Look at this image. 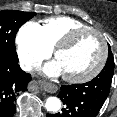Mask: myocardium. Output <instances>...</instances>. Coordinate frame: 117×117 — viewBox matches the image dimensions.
<instances>
[{"instance_id":"f54148a6","label":"myocardium","mask_w":117,"mask_h":117,"mask_svg":"<svg viewBox=\"0 0 117 117\" xmlns=\"http://www.w3.org/2000/svg\"><path fill=\"white\" fill-rule=\"evenodd\" d=\"M85 33H93L99 38L101 42V46H102V54H101L99 62L89 72L83 75H79V76L63 75L64 80L71 82V83H84L95 78L104 68L107 58H108V46H107L106 39L99 30L93 27L79 28V29H75L67 33L53 47L54 57L56 58L58 53L61 50L69 47L80 35L85 34Z\"/></svg>"}]
</instances>
